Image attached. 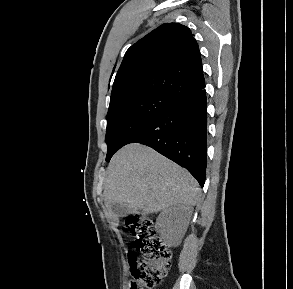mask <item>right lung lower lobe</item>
<instances>
[{
  "label": "right lung lower lobe",
  "mask_w": 293,
  "mask_h": 289,
  "mask_svg": "<svg viewBox=\"0 0 293 289\" xmlns=\"http://www.w3.org/2000/svg\"><path fill=\"white\" fill-rule=\"evenodd\" d=\"M129 143H141L155 149L185 167L203 186L207 162L205 89L174 102L134 134Z\"/></svg>",
  "instance_id": "1"
}]
</instances>
